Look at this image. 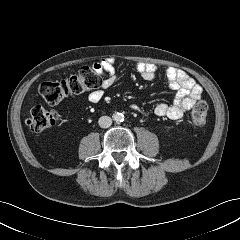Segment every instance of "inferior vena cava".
Masks as SVG:
<instances>
[{
    "label": "inferior vena cava",
    "instance_id": "1",
    "mask_svg": "<svg viewBox=\"0 0 240 240\" xmlns=\"http://www.w3.org/2000/svg\"><path fill=\"white\" fill-rule=\"evenodd\" d=\"M98 123L101 128H108L112 124V119L109 116H102L99 118Z\"/></svg>",
    "mask_w": 240,
    "mask_h": 240
}]
</instances>
